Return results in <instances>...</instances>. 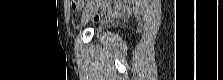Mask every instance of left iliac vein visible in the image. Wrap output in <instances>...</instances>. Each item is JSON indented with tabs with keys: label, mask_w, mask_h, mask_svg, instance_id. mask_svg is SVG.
I'll return each instance as SVG.
<instances>
[{
	"label": "left iliac vein",
	"mask_w": 223,
	"mask_h": 80,
	"mask_svg": "<svg viewBox=\"0 0 223 80\" xmlns=\"http://www.w3.org/2000/svg\"><path fill=\"white\" fill-rule=\"evenodd\" d=\"M100 6V1L97 0L95 3L89 4L86 9V13L83 15L81 20V25H84L88 22L89 18L96 13Z\"/></svg>",
	"instance_id": "1"
}]
</instances>
